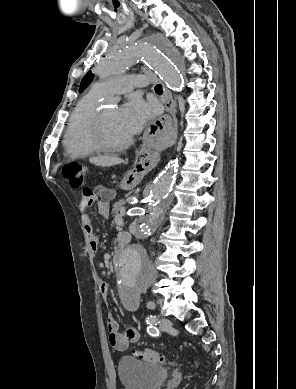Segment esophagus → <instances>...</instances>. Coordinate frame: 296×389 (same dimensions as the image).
Listing matches in <instances>:
<instances>
[{"instance_id": "34e87169", "label": "esophagus", "mask_w": 296, "mask_h": 389, "mask_svg": "<svg viewBox=\"0 0 296 389\" xmlns=\"http://www.w3.org/2000/svg\"><path fill=\"white\" fill-rule=\"evenodd\" d=\"M165 109L164 117L160 121L151 119L150 126L143 128L142 134L145 139H163L166 131H171L176 121V102L171 91L163 85ZM162 159V154L159 150H151L147 147H142L139 151V161L135 168L140 169H157L159 162Z\"/></svg>"}]
</instances>
